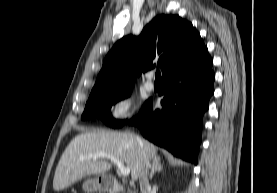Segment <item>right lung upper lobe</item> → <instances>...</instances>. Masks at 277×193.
<instances>
[{"label":"right lung upper lobe","instance_id":"obj_1","mask_svg":"<svg viewBox=\"0 0 277 193\" xmlns=\"http://www.w3.org/2000/svg\"><path fill=\"white\" fill-rule=\"evenodd\" d=\"M206 47L196 29L178 15H158L138 37L120 39L107 54L91 94L133 86L135 76L159 64L163 77Z\"/></svg>","mask_w":277,"mask_h":193}]
</instances>
